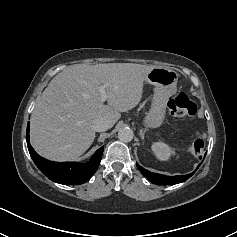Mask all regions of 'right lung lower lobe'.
I'll return each mask as SVG.
<instances>
[{"instance_id": "right-lung-lower-lobe-1", "label": "right lung lower lobe", "mask_w": 237, "mask_h": 237, "mask_svg": "<svg viewBox=\"0 0 237 237\" xmlns=\"http://www.w3.org/2000/svg\"><path fill=\"white\" fill-rule=\"evenodd\" d=\"M30 123L27 125V146L31 158L39 170L50 180L64 185L83 184L96 172L104 147L99 148L86 163L77 162H53L39 156L29 142Z\"/></svg>"}]
</instances>
